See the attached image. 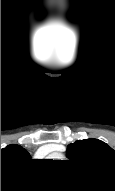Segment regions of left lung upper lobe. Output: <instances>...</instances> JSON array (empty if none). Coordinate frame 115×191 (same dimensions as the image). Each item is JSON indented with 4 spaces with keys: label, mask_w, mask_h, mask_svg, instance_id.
<instances>
[{
    "label": "left lung upper lobe",
    "mask_w": 115,
    "mask_h": 191,
    "mask_svg": "<svg viewBox=\"0 0 115 191\" xmlns=\"http://www.w3.org/2000/svg\"><path fill=\"white\" fill-rule=\"evenodd\" d=\"M72 162L115 176V151L98 139L77 140L67 147Z\"/></svg>",
    "instance_id": "left-lung-upper-lobe-1"
}]
</instances>
